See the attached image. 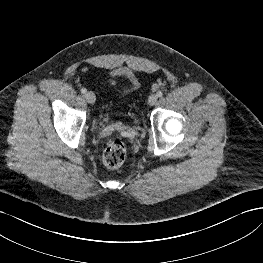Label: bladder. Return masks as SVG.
Masks as SVG:
<instances>
[{
    "instance_id": "obj_1",
    "label": "bladder",
    "mask_w": 263,
    "mask_h": 263,
    "mask_svg": "<svg viewBox=\"0 0 263 263\" xmlns=\"http://www.w3.org/2000/svg\"><path fill=\"white\" fill-rule=\"evenodd\" d=\"M136 87H137V82H136V80H133V81H132V86H131V88L128 89V90L126 91V93L129 94V93H130L132 90H134Z\"/></svg>"
}]
</instances>
